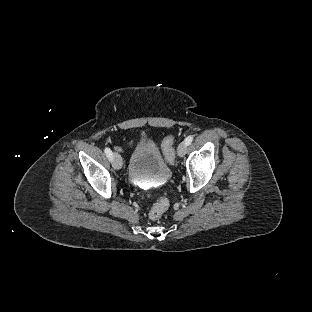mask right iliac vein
<instances>
[{"label":"right iliac vein","instance_id":"63e3f726","mask_svg":"<svg viewBox=\"0 0 312 312\" xmlns=\"http://www.w3.org/2000/svg\"><path fill=\"white\" fill-rule=\"evenodd\" d=\"M113 167L116 170H120L122 168V159L121 156L115 152L112 157Z\"/></svg>","mask_w":312,"mask_h":312}]
</instances>
